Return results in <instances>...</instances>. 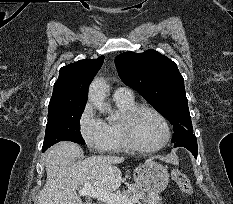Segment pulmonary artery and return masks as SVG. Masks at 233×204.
I'll return each instance as SVG.
<instances>
[{
  "mask_svg": "<svg viewBox=\"0 0 233 204\" xmlns=\"http://www.w3.org/2000/svg\"><path fill=\"white\" fill-rule=\"evenodd\" d=\"M114 98L117 99H130L133 98L132 92L126 87H118L113 94Z\"/></svg>",
  "mask_w": 233,
  "mask_h": 204,
  "instance_id": "obj_1",
  "label": "pulmonary artery"
}]
</instances>
